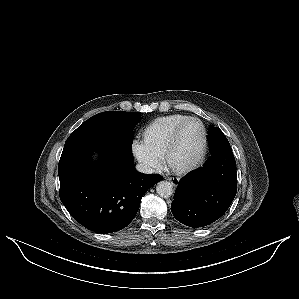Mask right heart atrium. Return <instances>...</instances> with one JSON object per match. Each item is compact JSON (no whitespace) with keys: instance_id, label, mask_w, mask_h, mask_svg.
<instances>
[{"instance_id":"obj_1","label":"right heart atrium","mask_w":299,"mask_h":299,"mask_svg":"<svg viewBox=\"0 0 299 299\" xmlns=\"http://www.w3.org/2000/svg\"><path fill=\"white\" fill-rule=\"evenodd\" d=\"M131 151L144 170L152 172L160 167V157L152 154L143 142L135 140L132 144Z\"/></svg>"}]
</instances>
